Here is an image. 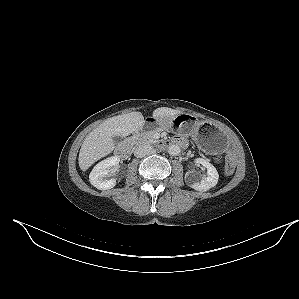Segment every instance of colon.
I'll return each instance as SVG.
<instances>
[{"label":"colon","mask_w":299,"mask_h":299,"mask_svg":"<svg viewBox=\"0 0 299 299\" xmlns=\"http://www.w3.org/2000/svg\"><path fill=\"white\" fill-rule=\"evenodd\" d=\"M215 159L218 161L220 158L216 157ZM234 167H235V163H234L233 159L230 158L225 167L226 173H228V174L232 173Z\"/></svg>","instance_id":"colon-1"}]
</instances>
